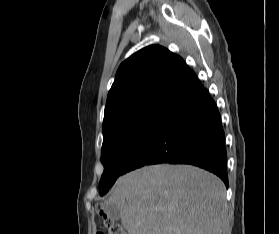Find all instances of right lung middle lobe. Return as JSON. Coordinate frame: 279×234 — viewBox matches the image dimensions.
<instances>
[{"mask_svg":"<svg viewBox=\"0 0 279 234\" xmlns=\"http://www.w3.org/2000/svg\"><path fill=\"white\" fill-rule=\"evenodd\" d=\"M168 108L159 105L145 106L119 114L103 123L101 161L104 172L99 184L101 196L123 174L131 155Z\"/></svg>","mask_w":279,"mask_h":234,"instance_id":"dd1d6c3e","label":"right lung middle lobe"}]
</instances>
